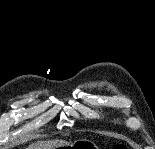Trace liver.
Here are the masks:
<instances>
[{
  "instance_id": "6515ba94",
  "label": "liver",
  "mask_w": 155,
  "mask_h": 149,
  "mask_svg": "<svg viewBox=\"0 0 155 149\" xmlns=\"http://www.w3.org/2000/svg\"><path fill=\"white\" fill-rule=\"evenodd\" d=\"M69 143L64 140H49V141H38L28 146V149H56L59 147H64Z\"/></svg>"
}]
</instances>
